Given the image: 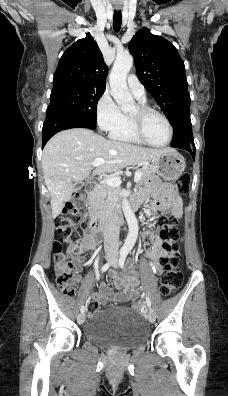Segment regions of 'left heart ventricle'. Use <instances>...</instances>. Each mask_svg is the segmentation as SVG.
I'll list each match as a JSON object with an SVG mask.
<instances>
[{
	"label": "left heart ventricle",
	"mask_w": 228,
	"mask_h": 396,
	"mask_svg": "<svg viewBox=\"0 0 228 396\" xmlns=\"http://www.w3.org/2000/svg\"><path fill=\"white\" fill-rule=\"evenodd\" d=\"M136 106L133 108L130 114L136 112ZM143 129L146 138L153 144H163L168 139V128L164 120L156 115L149 114L143 120Z\"/></svg>",
	"instance_id": "obj_1"
}]
</instances>
